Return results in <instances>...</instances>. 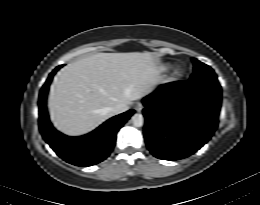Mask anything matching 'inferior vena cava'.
<instances>
[{
  "label": "inferior vena cava",
  "mask_w": 260,
  "mask_h": 205,
  "mask_svg": "<svg viewBox=\"0 0 260 205\" xmlns=\"http://www.w3.org/2000/svg\"><path fill=\"white\" fill-rule=\"evenodd\" d=\"M128 109H129V107L127 104L119 103V104L115 105L114 107L110 108V113L112 115H117V114L127 111Z\"/></svg>",
  "instance_id": "602c4592"
}]
</instances>
